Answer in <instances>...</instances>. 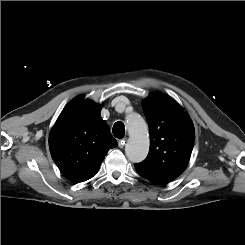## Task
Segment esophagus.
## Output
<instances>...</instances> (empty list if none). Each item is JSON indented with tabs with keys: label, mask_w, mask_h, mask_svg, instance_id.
<instances>
[{
	"label": "esophagus",
	"mask_w": 245,
	"mask_h": 245,
	"mask_svg": "<svg viewBox=\"0 0 245 245\" xmlns=\"http://www.w3.org/2000/svg\"><path fill=\"white\" fill-rule=\"evenodd\" d=\"M126 142H127V138H123V139L119 140L118 146L120 148H123L125 146Z\"/></svg>",
	"instance_id": "1"
}]
</instances>
